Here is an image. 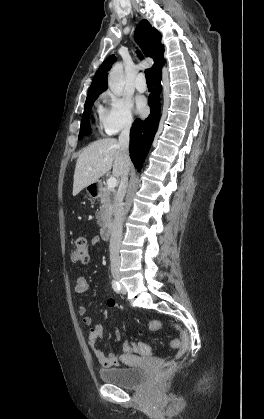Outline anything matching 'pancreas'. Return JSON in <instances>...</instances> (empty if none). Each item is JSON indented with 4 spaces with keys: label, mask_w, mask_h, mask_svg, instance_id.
I'll use <instances>...</instances> for the list:
<instances>
[{
    "label": "pancreas",
    "mask_w": 264,
    "mask_h": 419,
    "mask_svg": "<svg viewBox=\"0 0 264 419\" xmlns=\"http://www.w3.org/2000/svg\"><path fill=\"white\" fill-rule=\"evenodd\" d=\"M115 193L108 187H103L100 192L101 206L97 212L96 218L101 226L107 225L112 220L115 206Z\"/></svg>",
    "instance_id": "pancreas-1"
}]
</instances>
